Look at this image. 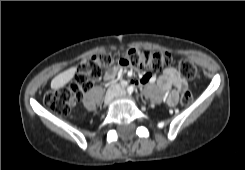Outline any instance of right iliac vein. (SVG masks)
<instances>
[{
	"label": "right iliac vein",
	"instance_id": "63e3f726",
	"mask_svg": "<svg viewBox=\"0 0 245 170\" xmlns=\"http://www.w3.org/2000/svg\"><path fill=\"white\" fill-rule=\"evenodd\" d=\"M117 89L116 88H111L107 91L105 98H104V104L109 105L112 100L117 96Z\"/></svg>",
	"mask_w": 245,
	"mask_h": 170
}]
</instances>
